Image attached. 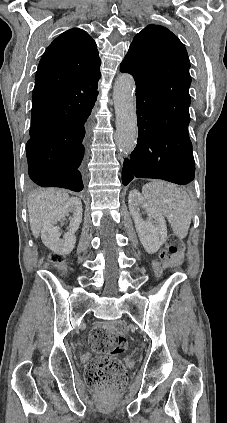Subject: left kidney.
<instances>
[{
    "mask_svg": "<svg viewBox=\"0 0 227 423\" xmlns=\"http://www.w3.org/2000/svg\"><path fill=\"white\" fill-rule=\"evenodd\" d=\"M128 204L141 243L148 253H155L167 239V225L162 213L148 206L138 190H131ZM139 208L146 211V221L141 217Z\"/></svg>",
    "mask_w": 227,
    "mask_h": 423,
    "instance_id": "5707ae66",
    "label": "left kidney"
}]
</instances>
